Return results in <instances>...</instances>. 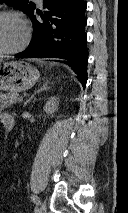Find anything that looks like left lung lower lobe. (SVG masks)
I'll use <instances>...</instances> for the list:
<instances>
[{"label":"left lung lower lobe","instance_id":"1","mask_svg":"<svg viewBox=\"0 0 128 213\" xmlns=\"http://www.w3.org/2000/svg\"><path fill=\"white\" fill-rule=\"evenodd\" d=\"M43 13L37 10L43 21L35 19V9L29 14L33 22V39L16 58H61L81 78L87 81L88 49L86 45L84 0H43Z\"/></svg>","mask_w":128,"mask_h":213}]
</instances>
